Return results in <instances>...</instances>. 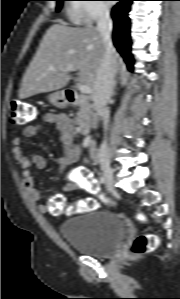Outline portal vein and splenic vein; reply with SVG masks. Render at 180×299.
Listing matches in <instances>:
<instances>
[{
  "label": "portal vein and splenic vein",
  "mask_w": 180,
  "mask_h": 299,
  "mask_svg": "<svg viewBox=\"0 0 180 299\" xmlns=\"http://www.w3.org/2000/svg\"><path fill=\"white\" fill-rule=\"evenodd\" d=\"M49 70L55 71V68L53 66H49ZM78 89L83 94H90L92 92V89L88 85L79 84Z\"/></svg>",
  "instance_id": "portal-vein-and-splenic-vein-1"
}]
</instances>
